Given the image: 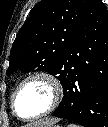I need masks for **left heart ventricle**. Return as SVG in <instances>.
<instances>
[{
    "instance_id": "obj_1",
    "label": "left heart ventricle",
    "mask_w": 108,
    "mask_h": 127,
    "mask_svg": "<svg viewBox=\"0 0 108 127\" xmlns=\"http://www.w3.org/2000/svg\"><path fill=\"white\" fill-rule=\"evenodd\" d=\"M51 101L49 87L42 81L27 83L17 94L15 105L23 117L35 116L43 112Z\"/></svg>"
}]
</instances>
